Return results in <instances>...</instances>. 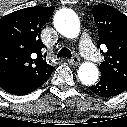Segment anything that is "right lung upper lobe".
<instances>
[{
    "label": "right lung upper lobe",
    "mask_w": 127,
    "mask_h": 127,
    "mask_svg": "<svg viewBox=\"0 0 127 127\" xmlns=\"http://www.w3.org/2000/svg\"><path fill=\"white\" fill-rule=\"evenodd\" d=\"M54 7H29L0 20V79L19 74L41 76L54 67L44 60L39 34Z\"/></svg>",
    "instance_id": "obj_1"
}]
</instances>
